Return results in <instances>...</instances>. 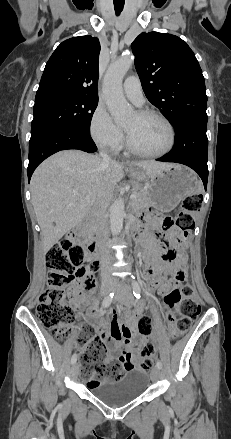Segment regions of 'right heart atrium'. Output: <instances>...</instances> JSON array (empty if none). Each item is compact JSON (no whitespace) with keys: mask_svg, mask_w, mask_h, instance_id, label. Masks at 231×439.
Here are the masks:
<instances>
[{"mask_svg":"<svg viewBox=\"0 0 231 439\" xmlns=\"http://www.w3.org/2000/svg\"><path fill=\"white\" fill-rule=\"evenodd\" d=\"M89 132L92 140L99 146L116 151L122 146V129L113 121L107 109L98 104L91 116Z\"/></svg>","mask_w":231,"mask_h":439,"instance_id":"1","label":"right heart atrium"}]
</instances>
